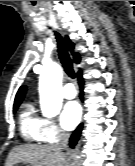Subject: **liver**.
Here are the masks:
<instances>
[{
  "instance_id": "1",
  "label": "liver",
  "mask_w": 135,
  "mask_h": 166,
  "mask_svg": "<svg viewBox=\"0 0 135 166\" xmlns=\"http://www.w3.org/2000/svg\"><path fill=\"white\" fill-rule=\"evenodd\" d=\"M18 163L32 166H66V156L57 145L26 144L11 150L5 166H14Z\"/></svg>"
}]
</instances>
